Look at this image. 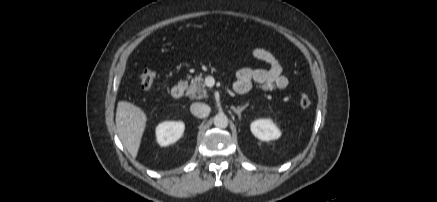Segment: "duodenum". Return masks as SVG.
I'll use <instances>...</instances> for the list:
<instances>
[{
    "label": "duodenum",
    "instance_id": "410a0bca",
    "mask_svg": "<svg viewBox=\"0 0 437 202\" xmlns=\"http://www.w3.org/2000/svg\"><path fill=\"white\" fill-rule=\"evenodd\" d=\"M185 85L183 83H178L174 85L171 89V95L175 99H179L184 95Z\"/></svg>",
    "mask_w": 437,
    "mask_h": 202
}]
</instances>
